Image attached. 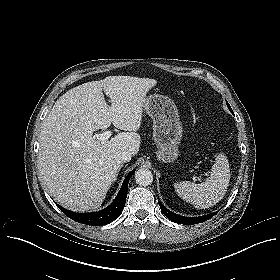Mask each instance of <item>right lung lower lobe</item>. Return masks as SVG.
<instances>
[{"mask_svg": "<svg viewBox=\"0 0 280 280\" xmlns=\"http://www.w3.org/2000/svg\"><path fill=\"white\" fill-rule=\"evenodd\" d=\"M135 170H132L125 178L122 187L114 201L104 210L95 213H75L58 206L69 218L86 225L100 226L114 221L122 212L127 196L128 182Z\"/></svg>", "mask_w": 280, "mask_h": 280, "instance_id": "1", "label": "right lung lower lobe"}]
</instances>
